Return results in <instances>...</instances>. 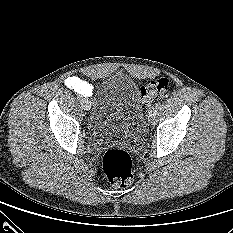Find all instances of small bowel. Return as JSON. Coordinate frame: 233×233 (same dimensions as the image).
Listing matches in <instances>:
<instances>
[{"label":"small bowel","instance_id":"small-bowel-1","mask_svg":"<svg viewBox=\"0 0 233 233\" xmlns=\"http://www.w3.org/2000/svg\"><path fill=\"white\" fill-rule=\"evenodd\" d=\"M65 85L71 90L83 96H91L94 92V86L82 78L71 75L65 79Z\"/></svg>","mask_w":233,"mask_h":233}]
</instances>
